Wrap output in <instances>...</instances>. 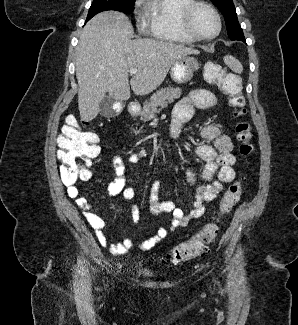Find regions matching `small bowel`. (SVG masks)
<instances>
[{
	"instance_id": "c3829d8e",
	"label": "small bowel",
	"mask_w": 298,
	"mask_h": 325,
	"mask_svg": "<svg viewBox=\"0 0 298 325\" xmlns=\"http://www.w3.org/2000/svg\"><path fill=\"white\" fill-rule=\"evenodd\" d=\"M218 106L216 95L206 89H196L181 99L175 106L172 121L170 125V135L176 139L179 137L181 129L194 114V108L210 109ZM202 138L214 143V146L200 144L196 148V154L206 162L203 172L205 184L200 185L196 191V199L193 209L185 214L182 209L176 207L171 201H159L160 182L154 181L150 187L148 197L149 208L152 213L162 215L170 213L172 215L171 223L168 228L160 227L156 234L148 240L142 242L139 247L143 250H149L162 241L170 231L187 226L191 221L202 217L205 213V205L213 201L222 191L223 185L230 183L235 178L234 165L236 158L232 153V138L223 132L218 126L208 124L203 127ZM147 157L146 150L130 153L126 157L114 156L112 165L115 171V178L107 187L109 196H122L130 201L134 197V189L126 186V172L128 165L136 164ZM217 174V178L213 176ZM188 180L195 182L194 174L187 173ZM68 195L76 199V204L82 210L88 224L95 231L96 237L102 246H107V239L104 233L105 222L93 211L90 200L79 196V189L76 185L67 187ZM132 220L137 225L140 222V212L136 205H131ZM134 242L126 237L122 242L110 246V251L114 254H124L131 250Z\"/></svg>"
}]
</instances>
